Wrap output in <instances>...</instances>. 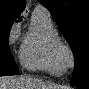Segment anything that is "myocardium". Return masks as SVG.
I'll return each instance as SVG.
<instances>
[{"label":"myocardium","instance_id":"myocardium-1","mask_svg":"<svg viewBox=\"0 0 89 89\" xmlns=\"http://www.w3.org/2000/svg\"><path fill=\"white\" fill-rule=\"evenodd\" d=\"M57 54L64 69H72L75 66V53L68 43L59 40Z\"/></svg>","mask_w":89,"mask_h":89}]
</instances>
